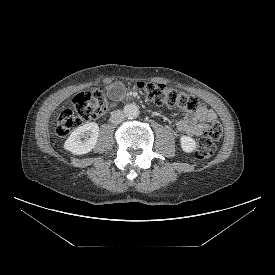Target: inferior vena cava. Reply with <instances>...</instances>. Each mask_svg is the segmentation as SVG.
Masks as SVG:
<instances>
[{"label":"inferior vena cava","instance_id":"obj_1","mask_svg":"<svg viewBox=\"0 0 275 275\" xmlns=\"http://www.w3.org/2000/svg\"><path fill=\"white\" fill-rule=\"evenodd\" d=\"M125 115L123 113V111L121 110H116L113 111L110 117V122L113 124H119L122 121H124Z\"/></svg>","mask_w":275,"mask_h":275}]
</instances>
